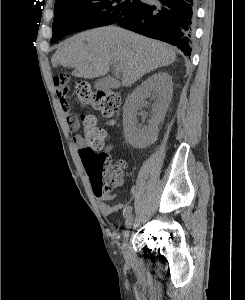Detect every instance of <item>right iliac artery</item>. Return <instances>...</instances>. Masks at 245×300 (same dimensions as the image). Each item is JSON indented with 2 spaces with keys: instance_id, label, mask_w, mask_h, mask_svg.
Returning <instances> with one entry per match:
<instances>
[{
  "instance_id": "1",
  "label": "right iliac artery",
  "mask_w": 245,
  "mask_h": 300,
  "mask_svg": "<svg viewBox=\"0 0 245 300\" xmlns=\"http://www.w3.org/2000/svg\"><path fill=\"white\" fill-rule=\"evenodd\" d=\"M131 212H132V207L131 206L127 207L123 212L124 217L127 218Z\"/></svg>"
}]
</instances>
